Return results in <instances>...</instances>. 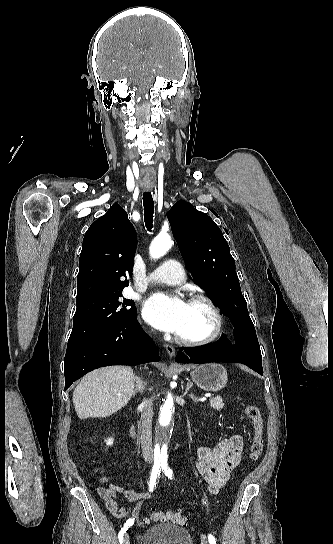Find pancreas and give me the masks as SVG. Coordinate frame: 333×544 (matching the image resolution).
Instances as JSON below:
<instances>
[{
    "instance_id": "1",
    "label": "pancreas",
    "mask_w": 333,
    "mask_h": 544,
    "mask_svg": "<svg viewBox=\"0 0 333 544\" xmlns=\"http://www.w3.org/2000/svg\"><path fill=\"white\" fill-rule=\"evenodd\" d=\"M210 406L215 410H221L224 408L223 400L220 396L209 399Z\"/></svg>"
}]
</instances>
